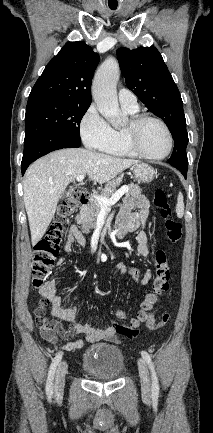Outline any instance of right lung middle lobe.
Listing matches in <instances>:
<instances>
[{
	"label": "right lung middle lobe",
	"instance_id": "obj_1",
	"mask_svg": "<svg viewBox=\"0 0 213 433\" xmlns=\"http://www.w3.org/2000/svg\"><path fill=\"white\" fill-rule=\"evenodd\" d=\"M90 104L47 97L28 99L25 114L26 131L45 128L80 143V122Z\"/></svg>",
	"mask_w": 213,
	"mask_h": 433
}]
</instances>
